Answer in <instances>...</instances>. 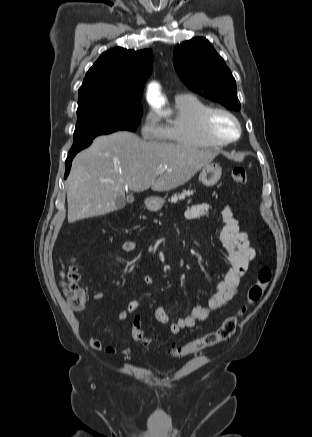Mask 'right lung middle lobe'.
Segmentation results:
<instances>
[{"label":"right lung middle lobe","mask_w":312,"mask_h":437,"mask_svg":"<svg viewBox=\"0 0 312 437\" xmlns=\"http://www.w3.org/2000/svg\"><path fill=\"white\" fill-rule=\"evenodd\" d=\"M143 113L142 105H90L77 109V124L69 155L88 147L99 135L135 131Z\"/></svg>","instance_id":"1"}]
</instances>
